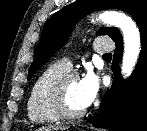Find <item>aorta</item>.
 I'll list each match as a JSON object with an SVG mask.
<instances>
[{
    "label": "aorta",
    "mask_w": 147,
    "mask_h": 131,
    "mask_svg": "<svg viewBox=\"0 0 147 131\" xmlns=\"http://www.w3.org/2000/svg\"><path fill=\"white\" fill-rule=\"evenodd\" d=\"M103 23L118 27L123 33L124 53L122 59V75L128 77L138 60L140 53V33L135 22L127 15L115 11H106L99 15Z\"/></svg>",
    "instance_id": "1"
}]
</instances>
